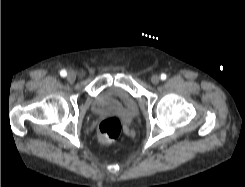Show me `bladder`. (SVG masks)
I'll list each match as a JSON object with an SVG mask.
<instances>
[{
  "label": "bladder",
  "mask_w": 245,
  "mask_h": 187,
  "mask_svg": "<svg viewBox=\"0 0 245 187\" xmlns=\"http://www.w3.org/2000/svg\"><path fill=\"white\" fill-rule=\"evenodd\" d=\"M91 109L96 114L122 113L129 117L136 114L137 105L128 91L112 87L101 91L93 98Z\"/></svg>",
  "instance_id": "1"
}]
</instances>
